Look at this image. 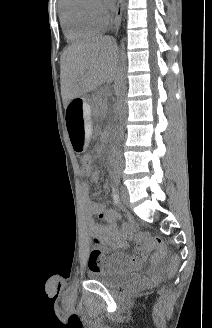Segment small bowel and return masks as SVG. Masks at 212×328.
Here are the masks:
<instances>
[{
    "label": "small bowel",
    "mask_w": 212,
    "mask_h": 328,
    "mask_svg": "<svg viewBox=\"0 0 212 328\" xmlns=\"http://www.w3.org/2000/svg\"><path fill=\"white\" fill-rule=\"evenodd\" d=\"M81 174L85 177H89L92 182L97 183L100 180V174L97 171L81 170ZM83 201L86 211V222L89 232L98 237L101 241L103 249L105 251H112L119 246L124 240L130 239L133 226L131 223L124 224L121 228H118L116 222L119 215L110 209H107L105 205L96 203L90 199V187L87 183L82 187ZM112 199L115 205H119V196L115 189L112 190ZM99 217L105 223H99L95 220V217ZM148 249L138 248V250L132 254L127 255L124 253H117L112 255L109 264L105 265L102 262H97L94 265H89L90 270H101L109 268L115 271L128 272L139 269L145 260L147 259Z\"/></svg>",
    "instance_id": "small-bowel-1"
}]
</instances>
